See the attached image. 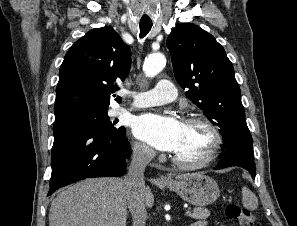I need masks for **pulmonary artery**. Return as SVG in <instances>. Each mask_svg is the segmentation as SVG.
<instances>
[{"label":"pulmonary artery","mask_w":297,"mask_h":226,"mask_svg":"<svg viewBox=\"0 0 297 226\" xmlns=\"http://www.w3.org/2000/svg\"><path fill=\"white\" fill-rule=\"evenodd\" d=\"M177 97L174 85L166 79L158 81L154 89L146 92L135 93L131 108H144L170 103Z\"/></svg>","instance_id":"e3ab8cb5"}]
</instances>
